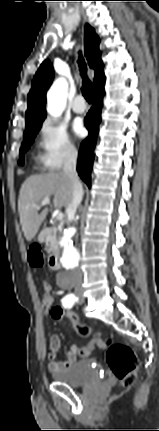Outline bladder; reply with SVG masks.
Returning <instances> with one entry per match:
<instances>
[{
	"mask_svg": "<svg viewBox=\"0 0 159 431\" xmlns=\"http://www.w3.org/2000/svg\"><path fill=\"white\" fill-rule=\"evenodd\" d=\"M51 376L56 382L71 387H80L101 379L104 372L99 363L87 358L76 361L67 368L52 371Z\"/></svg>",
	"mask_w": 159,
	"mask_h": 431,
	"instance_id": "1",
	"label": "bladder"
}]
</instances>
